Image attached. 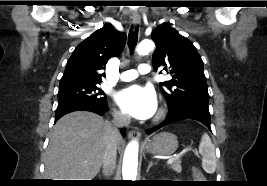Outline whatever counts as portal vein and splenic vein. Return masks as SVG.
Here are the masks:
<instances>
[{"label":"portal vein and splenic vein","mask_w":267,"mask_h":186,"mask_svg":"<svg viewBox=\"0 0 267 186\" xmlns=\"http://www.w3.org/2000/svg\"><path fill=\"white\" fill-rule=\"evenodd\" d=\"M177 158H178V157H175V156L170 157V158L168 159V161H167V165L172 164V163L174 162V160L177 159Z\"/></svg>","instance_id":"obj_1"}]
</instances>
